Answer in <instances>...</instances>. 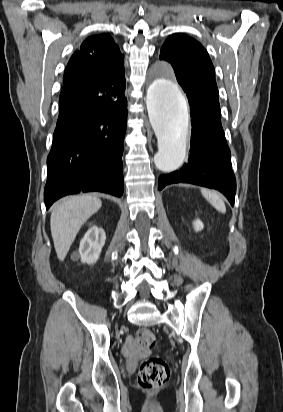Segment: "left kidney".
Returning <instances> with one entry per match:
<instances>
[{"mask_svg": "<svg viewBox=\"0 0 283 412\" xmlns=\"http://www.w3.org/2000/svg\"><path fill=\"white\" fill-rule=\"evenodd\" d=\"M193 227H194V230H195L196 232H198V231H201V230L203 229L204 225H203V223H202L200 220L196 219V220L193 222Z\"/></svg>", "mask_w": 283, "mask_h": 412, "instance_id": "5707ae66", "label": "left kidney"}]
</instances>
